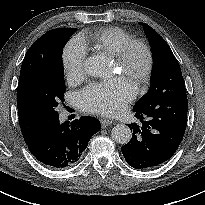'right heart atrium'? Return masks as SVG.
<instances>
[{
  "mask_svg": "<svg viewBox=\"0 0 205 205\" xmlns=\"http://www.w3.org/2000/svg\"><path fill=\"white\" fill-rule=\"evenodd\" d=\"M87 48L78 36L72 37L62 52V63L66 77L70 82H77L83 78Z\"/></svg>",
  "mask_w": 205,
  "mask_h": 205,
  "instance_id": "right-heart-atrium-1",
  "label": "right heart atrium"
}]
</instances>
